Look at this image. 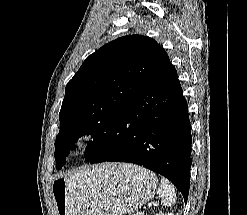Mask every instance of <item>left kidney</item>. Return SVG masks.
<instances>
[{"label": "left kidney", "mask_w": 247, "mask_h": 215, "mask_svg": "<svg viewBox=\"0 0 247 215\" xmlns=\"http://www.w3.org/2000/svg\"><path fill=\"white\" fill-rule=\"evenodd\" d=\"M155 215H174L173 213H159V214H155Z\"/></svg>", "instance_id": "left-kidney-1"}]
</instances>
